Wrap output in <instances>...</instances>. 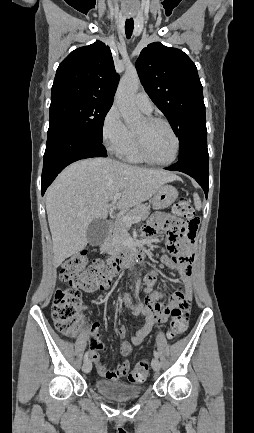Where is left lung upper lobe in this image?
<instances>
[{
	"mask_svg": "<svg viewBox=\"0 0 254 433\" xmlns=\"http://www.w3.org/2000/svg\"><path fill=\"white\" fill-rule=\"evenodd\" d=\"M136 69L145 91L179 138V159L208 152L202 84L191 59L179 49L155 42L141 51Z\"/></svg>",
	"mask_w": 254,
	"mask_h": 433,
	"instance_id": "obj_1",
	"label": "left lung upper lobe"
}]
</instances>
